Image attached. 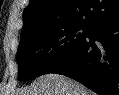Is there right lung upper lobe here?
Instances as JSON below:
<instances>
[{
    "mask_svg": "<svg viewBox=\"0 0 119 95\" xmlns=\"http://www.w3.org/2000/svg\"><path fill=\"white\" fill-rule=\"evenodd\" d=\"M119 16V0H30L23 12L21 37L47 25L80 24L93 27Z\"/></svg>",
    "mask_w": 119,
    "mask_h": 95,
    "instance_id": "1",
    "label": "right lung upper lobe"
}]
</instances>
